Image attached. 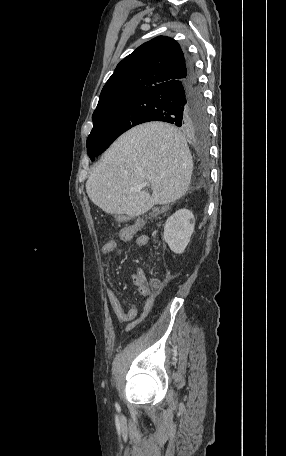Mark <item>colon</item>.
<instances>
[{"label":"colon","mask_w":286,"mask_h":456,"mask_svg":"<svg viewBox=\"0 0 286 456\" xmlns=\"http://www.w3.org/2000/svg\"><path fill=\"white\" fill-rule=\"evenodd\" d=\"M140 228H141V225L138 223V224L132 225L130 227L124 228V232L127 235H134ZM162 284H163V282L161 279H158V278L151 279V287L154 290H159L162 287Z\"/></svg>","instance_id":"colon-1"}]
</instances>
